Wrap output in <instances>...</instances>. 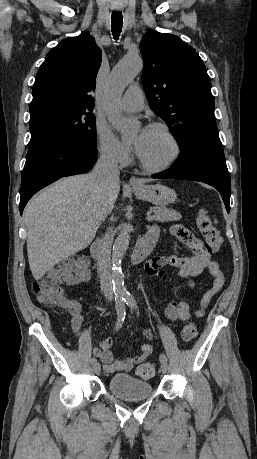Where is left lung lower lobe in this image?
<instances>
[{"label":"left lung lower lobe","mask_w":257,"mask_h":459,"mask_svg":"<svg viewBox=\"0 0 257 459\" xmlns=\"http://www.w3.org/2000/svg\"><path fill=\"white\" fill-rule=\"evenodd\" d=\"M151 177L207 183L220 192L230 212V175L216 126L200 129L190 139L187 151L181 153L170 169Z\"/></svg>","instance_id":"1"}]
</instances>
